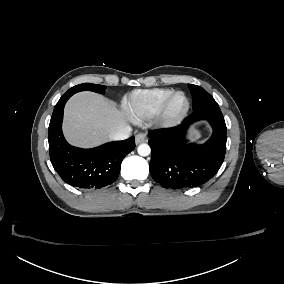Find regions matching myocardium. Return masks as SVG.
Here are the masks:
<instances>
[{
    "label": "myocardium",
    "instance_id": "obj_1",
    "mask_svg": "<svg viewBox=\"0 0 284 284\" xmlns=\"http://www.w3.org/2000/svg\"><path fill=\"white\" fill-rule=\"evenodd\" d=\"M182 93L185 96V108L182 113L172 119H168L166 117L167 108L171 99L179 94ZM190 99L188 95L182 90H175L168 94L160 103L159 107L155 111V113L151 117L152 126L161 131H170L178 127L187 117L189 110H190Z\"/></svg>",
    "mask_w": 284,
    "mask_h": 284
}]
</instances>
